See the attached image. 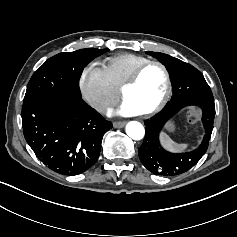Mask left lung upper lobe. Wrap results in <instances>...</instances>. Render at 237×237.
I'll list each match as a JSON object with an SVG mask.
<instances>
[{
	"mask_svg": "<svg viewBox=\"0 0 237 237\" xmlns=\"http://www.w3.org/2000/svg\"><path fill=\"white\" fill-rule=\"evenodd\" d=\"M160 60L168 69L173 86V96L165 110L177 105H187L205 101L214 102L212 91L203 74L192 65L159 52H147ZM168 120L164 113L145 121V138L138 150L142 164L152 173L175 176L195 165L206 153L211 134L206 130L201 145L191 152L173 154L163 149L159 143V133ZM204 125V124H203Z\"/></svg>",
	"mask_w": 237,
	"mask_h": 237,
	"instance_id": "1",
	"label": "left lung upper lobe"
}]
</instances>
